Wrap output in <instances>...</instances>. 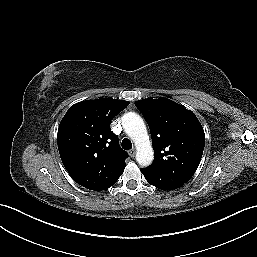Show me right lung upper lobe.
Segmentation results:
<instances>
[{
	"label": "right lung upper lobe",
	"instance_id": "cb5924a9",
	"mask_svg": "<svg viewBox=\"0 0 257 257\" xmlns=\"http://www.w3.org/2000/svg\"><path fill=\"white\" fill-rule=\"evenodd\" d=\"M129 102L111 98L87 100L71 106L57 135L62 163L72 179L90 190H105L116 183L126 166L110 121Z\"/></svg>",
	"mask_w": 257,
	"mask_h": 257
}]
</instances>
